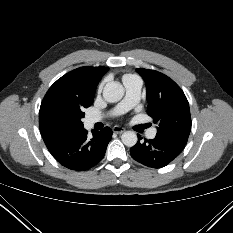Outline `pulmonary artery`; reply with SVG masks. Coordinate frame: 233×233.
I'll return each mask as SVG.
<instances>
[{
	"mask_svg": "<svg viewBox=\"0 0 233 233\" xmlns=\"http://www.w3.org/2000/svg\"><path fill=\"white\" fill-rule=\"evenodd\" d=\"M126 95L123 101L117 106L116 112L122 113L131 109L137 104L140 99V90L142 86V80L138 76H129L123 80ZM100 120L99 117H89L87 123L92 125ZM156 128L148 131L147 136L153 139L156 136Z\"/></svg>",
	"mask_w": 233,
	"mask_h": 233,
	"instance_id": "obj_1",
	"label": "pulmonary artery"
}]
</instances>
